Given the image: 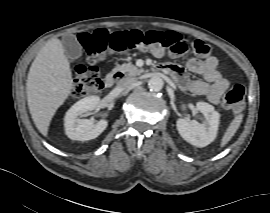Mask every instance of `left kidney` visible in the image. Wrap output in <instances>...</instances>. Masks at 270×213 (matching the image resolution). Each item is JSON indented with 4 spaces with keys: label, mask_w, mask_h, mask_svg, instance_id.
<instances>
[{
    "label": "left kidney",
    "mask_w": 270,
    "mask_h": 213,
    "mask_svg": "<svg viewBox=\"0 0 270 213\" xmlns=\"http://www.w3.org/2000/svg\"><path fill=\"white\" fill-rule=\"evenodd\" d=\"M196 107L204 117L205 122L200 124L196 120L180 118L176 122L180 136L196 147H205L216 138L220 114L206 102H197Z\"/></svg>",
    "instance_id": "obj_1"
}]
</instances>
